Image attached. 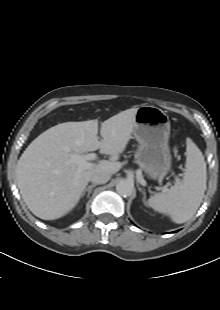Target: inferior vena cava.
I'll list each match as a JSON object with an SVG mask.
<instances>
[{
	"instance_id": "obj_1",
	"label": "inferior vena cava",
	"mask_w": 220,
	"mask_h": 310,
	"mask_svg": "<svg viewBox=\"0 0 220 310\" xmlns=\"http://www.w3.org/2000/svg\"><path fill=\"white\" fill-rule=\"evenodd\" d=\"M110 179V174L107 172L95 173L91 176L90 181L94 184H105Z\"/></svg>"
}]
</instances>
